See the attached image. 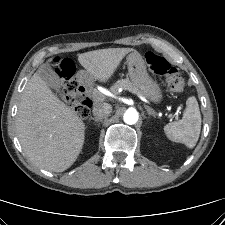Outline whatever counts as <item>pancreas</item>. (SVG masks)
<instances>
[{
	"label": "pancreas",
	"instance_id": "obj_1",
	"mask_svg": "<svg viewBox=\"0 0 225 225\" xmlns=\"http://www.w3.org/2000/svg\"><path fill=\"white\" fill-rule=\"evenodd\" d=\"M119 88H122L124 90H128L132 93H139L141 94L138 89L130 82L128 79H121L118 80L112 87V92L116 93Z\"/></svg>",
	"mask_w": 225,
	"mask_h": 225
}]
</instances>
